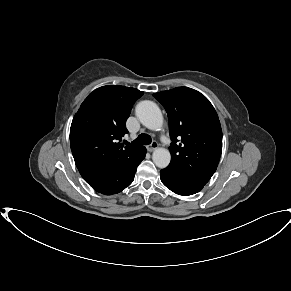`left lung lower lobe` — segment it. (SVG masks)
Masks as SVG:
<instances>
[{
    "label": "left lung lower lobe",
    "mask_w": 291,
    "mask_h": 291,
    "mask_svg": "<svg viewBox=\"0 0 291 291\" xmlns=\"http://www.w3.org/2000/svg\"><path fill=\"white\" fill-rule=\"evenodd\" d=\"M160 178L168 189L183 196L199 192L206 184L187 177L169 166L160 171Z\"/></svg>",
    "instance_id": "obj_1"
}]
</instances>
